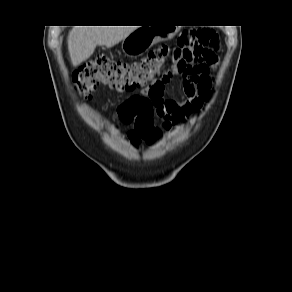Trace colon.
<instances>
[{"mask_svg": "<svg viewBox=\"0 0 292 292\" xmlns=\"http://www.w3.org/2000/svg\"><path fill=\"white\" fill-rule=\"evenodd\" d=\"M217 45L218 36L213 30L190 29L181 33L177 47L157 48L137 61L98 56L74 72V85L84 99H89L99 84L119 92L143 89L142 94L132 96L120 105L117 116L125 124H135L142 131L145 142L152 144L159 139L154 118L164 84L173 76L191 72Z\"/></svg>", "mask_w": 292, "mask_h": 292, "instance_id": "1", "label": "colon"}]
</instances>
